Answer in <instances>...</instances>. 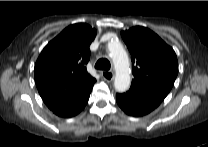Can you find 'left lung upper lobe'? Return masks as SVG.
Returning <instances> with one entry per match:
<instances>
[{"mask_svg": "<svg viewBox=\"0 0 208 147\" xmlns=\"http://www.w3.org/2000/svg\"><path fill=\"white\" fill-rule=\"evenodd\" d=\"M133 64L131 87L139 88L163 99L170 92L178 74L174 50L148 28L136 26L121 32Z\"/></svg>", "mask_w": 208, "mask_h": 147, "instance_id": "left-lung-upper-lobe-1", "label": "left lung upper lobe"}]
</instances>
